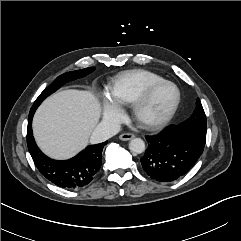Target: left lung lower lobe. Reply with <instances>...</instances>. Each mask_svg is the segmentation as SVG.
<instances>
[{
  "label": "left lung lower lobe",
  "instance_id": "left-lung-lower-lobe-1",
  "mask_svg": "<svg viewBox=\"0 0 241 241\" xmlns=\"http://www.w3.org/2000/svg\"><path fill=\"white\" fill-rule=\"evenodd\" d=\"M148 148L140 159L145 173L160 182L175 181L194 166L204 145L186 128L170 126L154 136H146Z\"/></svg>",
  "mask_w": 241,
  "mask_h": 241
}]
</instances>
